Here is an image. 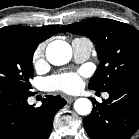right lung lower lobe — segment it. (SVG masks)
Returning <instances> with one entry per match:
<instances>
[{"instance_id":"right-lung-lower-lobe-1","label":"right lung lower lobe","mask_w":139,"mask_h":139,"mask_svg":"<svg viewBox=\"0 0 139 139\" xmlns=\"http://www.w3.org/2000/svg\"><path fill=\"white\" fill-rule=\"evenodd\" d=\"M29 96L0 93V139H47L55 113L66 101L60 96H49L40 107L27 102Z\"/></svg>"}]
</instances>
